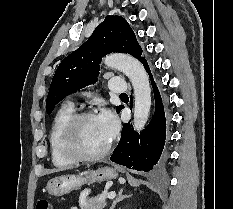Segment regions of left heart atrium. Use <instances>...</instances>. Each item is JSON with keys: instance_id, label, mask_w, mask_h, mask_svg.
<instances>
[{"instance_id": "obj_1", "label": "left heart atrium", "mask_w": 233, "mask_h": 209, "mask_svg": "<svg viewBox=\"0 0 233 209\" xmlns=\"http://www.w3.org/2000/svg\"><path fill=\"white\" fill-rule=\"evenodd\" d=\"M96 118L107 139L111 140L118 130V122L115 115L110 110L103 109Z\"/></svg>"}]
</instances>
